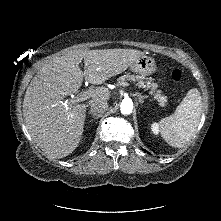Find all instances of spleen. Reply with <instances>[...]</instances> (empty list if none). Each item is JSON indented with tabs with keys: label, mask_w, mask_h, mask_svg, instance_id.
<instances>
[{
	"label": "spleen",
	"mask_w": 221,
	"mask_h": 221,
	"mask_svg": "<svg viewBox=\"0 0 221 221\" xmlns=\"http://www.w3.org/2000/svg\"><path fill=\"white\" fill-rule=\"evenodd\" d=\"M202 113V98L198 89L187 92L174 114L160 120L163 139L172 147L181 148L194 136Z\"/></svg>",
	"instance_id": "3e777b00"
}]
</instances>
